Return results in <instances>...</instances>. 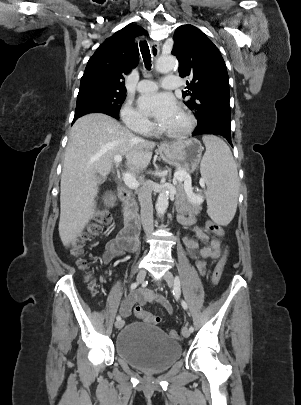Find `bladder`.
Returning a JSON list of instances; mask_svg holds the SVG:
<instances>
[{
    "label": "bladder",
    "instance_id": "obj_1",
    "mask_svg": "<svg viewBox=\"0 0 301 405\" xmlns=\"http://www.w3.org/2000/svg\"><path fill=\"white\" fill-rule=\"evenodd\" d=\"M117 355L131 366L157 373L171 367L181 355V345L160 328L143 322H131L115 339Z\"/></svg>",
    "mask_w": 301,
    "mask_h": 405
}]
</instances>
